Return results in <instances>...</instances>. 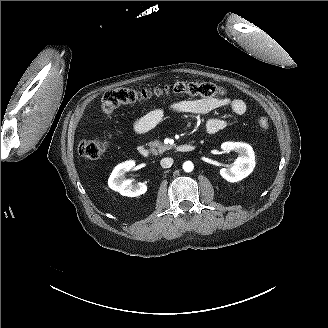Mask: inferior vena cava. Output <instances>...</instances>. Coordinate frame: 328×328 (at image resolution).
Wrapping results in <instances>:
<instances>
[{"label": "inferior vena cava", "mask_w": 328, "mask_h": 328, "mask_svg": "<svg viewBox=\"0 0 328 328\" xmlns=\"http://www.w3.org/2000/svg\"><path fill=\"white\" fill-rule=\"evenodd\" d=\"M173 164V158L171 157H166V158H163L161 159L160 161V165L163 167V168H169L171 167Z\"/></svg>", "instance_id": "1"}]
</instances>
